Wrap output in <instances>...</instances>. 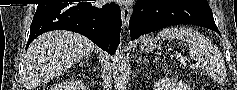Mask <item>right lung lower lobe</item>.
Returning <instances> with one entry per match:
<instances>
[{"instance_id":"right-lung-lower-lobe-1","label":"right lung lower lobe","mask_w":237,"mask_h":90,"mask_svg":"<svg viewBox=\"0 0 237 90\" xmlns=\"http://www.w3.org/2000/svg\"><path fill=\"white\" fill-rule=\"evenodd\" d=\"M52 30L80 33L109 54H114L120 42V7L114 3L95 7L91 2L39 4L26 48L37 36Z\"/></svg>"}]
</instances>
